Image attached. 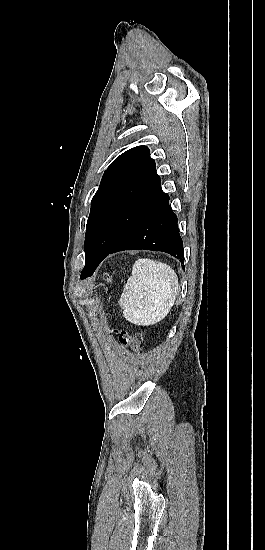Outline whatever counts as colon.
Segmentation results:
<instances>
[{
	"mask_svg": "<svg viewBox=\"0 0 265 550\" xmlns=\"http://www.w3.org/2000/svg\"><path fill=\"white\" fill-rule=\"evenodd\" d=\"M119 343L123 349H133L139 347L143 341V336L140 332H131L125 329H115Z\"/></svg>",
	"mask_w": 265,
	"mask_h": 550,
	"instance_id": "1",
	"label": "colon"
}]
</instances>
